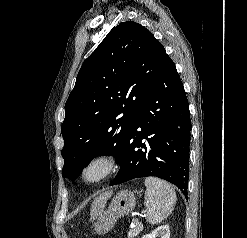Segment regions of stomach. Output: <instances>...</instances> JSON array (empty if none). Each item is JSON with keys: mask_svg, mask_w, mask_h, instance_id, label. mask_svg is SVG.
<instances>
[{"mask_svg": "<svg viewBox=\"0 0 247 238\" xmlns=\"http://www.w3.org/2000/svg\"><path fill=\"white\" fill-rule=\"evenodd\" d=\"M136 193L138 194L135 191L122 190L113 197L108 208L98 216L95 223L97 234L108 233L119 218L133 211L136 204Z\"/></svg>", "mask_w": 247, "mask_h": 238, "instance_id": "0dacf381", "label": "stomach"}]
</instances>
